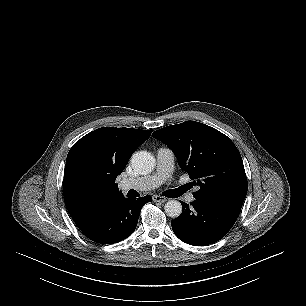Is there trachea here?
<instances>
[{
  "label": "trachea",
  "instance_id": "trachea-1",
  "mask_svg": "<svg viewBox=\"0 0 306 306\" xmlns=\"http://www.w3.org/2000/svg\"><path fill=\"white\" fill-rule=\"evenodd\" d=\"M179 195H180V194L177 193L176 190H170V191L166 192V195H165V196L175 198V197H178Z\"/></svg>",
  "mask_w": 306,
  "mask_h": 306
}]
</instances>
